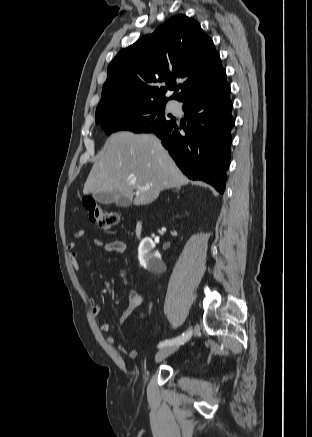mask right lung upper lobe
<instances>
[{
  "instance_id": "obj_1",
  "label": "right lung upper lobe",
  "mask_w": 312,
  "mask_h": 437,
  "mask_svg": "<svg viewBox=\"0 0 312 437\" xmlns=\"http://www.w3.org/2000/svg\"><path fill=\"white\" fill-rule=\"evenodd\" d=\"M107 72L96 120L125 106L166 102L167 88L177 78L185 81L171 98L183 101L226 73L211 38L182 14L121 50ZM162 82L167 87L159 86Z\"/></svg>"
}]
</instances>
